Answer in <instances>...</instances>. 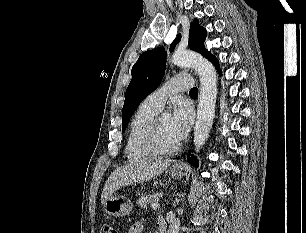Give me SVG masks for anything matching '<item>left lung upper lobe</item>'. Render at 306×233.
Returning a JSON list of instances; mask_svg holds the SVG:
<instances>
[{
	"label": "left lung upper lobe",
	"instance_id": "5c2ea615",
	"mask_svg": "<svg viewBox=\"0 0 306 233\" xmlns=\"http://www.w3.org/2000/svg\"><path fill=\"white\" fill-rule=\"evenodd\" d=\"M189 32V48L212 61L215 57L204 47L206 30L199 26L198 19L195 18L190 24ZM180 39L181 35H178L170 45V51L174 50ZM166 57L167 51L164 48H156L144 52L134 64L131 71L132 80L126 90L122 111V131L126 129L131 116L142 100L159 86L165 74Z\"/></svg>",
	"mask_w": 306,
	"mask_h": 233
}]
</instances>
